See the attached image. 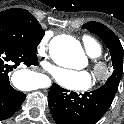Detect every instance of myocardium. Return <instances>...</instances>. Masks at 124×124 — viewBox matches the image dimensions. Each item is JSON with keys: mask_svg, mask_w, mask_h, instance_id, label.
<instances>
[{"mask_svg": "<svg viewBox=\"0 0 124 124\" xmlns=\"http://www.w3.org/2000/svg\"><path fill=\"white\" fill-rule=\"evenodd\" d=\"M92 70L98 83H104L111 75V66L108 62L95 58L92 63Z\"/></svg>", "mask_w": 124, "mask_h": 124, "instance_id": "myocardium-1", "label": "myocardium"}]
</instances>
